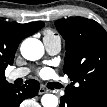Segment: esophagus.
Wrapping results in <instances>:
<instances>
[{"label": "esophagus", "instance_id": "34e87169", "mask_svg": "<svg viewBox=\"0 0 107 107\" xmlns=\"http://www.w3.org/2000/svg\"><path fill=\"white\" fill-rule=\"evenodd\" d=\"M46 92H47V89H45L43 86H41L40 89H39V91H38V94L42 95V94H44Z\"/></svg>", "mask_w": 107, "mask_h": 107}]
</instances>
